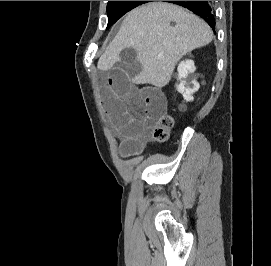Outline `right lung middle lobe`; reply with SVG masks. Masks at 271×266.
<instances>
[{
    "label": "right lung middle lobe",
    "instance_id": "dd1d6c3e",
    "mask_svg": "<svg viewBox=\"0 0 271 266\" xmlns=\"http://www.w3.org/2000/svg\"><path fill=\"white\" fill-rule=\"evenodd\" d=\"M150 1H108L107 15L109 29L119 18L133 8Z\"/></svg>",
    "mask_w": 271,
    "mask_h": 266
}]
</instances>
